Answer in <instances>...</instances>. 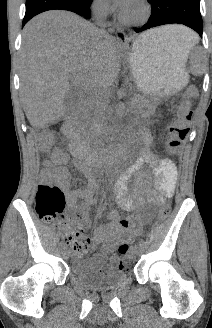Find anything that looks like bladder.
Here are the masks:
<instances>
[{
    "label": "bladder",
    "instance_id": "31cf9c89",
    "mask_svg": "<svg viewBox=\"0 0 212 328\" xmlns=\"http://www.w3.org/2000/svg\"><path fill=\"white\" fill-rule=\"evenodd\" d=\"M71 273L85 288L93 291H108L123 285L128 274L123 270H113L108 273H98L89 267V260L76 257L71 262Z\"/></svg>",
    "mask_w": 212,
    "mask_h": 328
}]
</instances>
